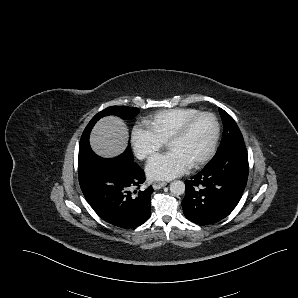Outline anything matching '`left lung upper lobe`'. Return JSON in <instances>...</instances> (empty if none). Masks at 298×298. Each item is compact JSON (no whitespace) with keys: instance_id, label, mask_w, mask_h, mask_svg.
<instances>
[{"instance_id":"1","label":"left lung upper lobe","mask_w":298,"mask_h":298,"mask_svg":"<svg viewBox=\"0 0 298 298\" xmlns=\"http://www.w3.org/2000/svg\"><path fill=\"white\" fill-rule=\"evenodd\" d=\"M219 112L224 125V131L221 144L214 157L221 155L232 147L245 144L243 136L234 119L221 108H219Z\"/></svg>"}]
</instances>
